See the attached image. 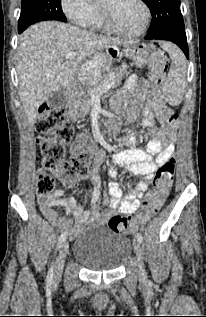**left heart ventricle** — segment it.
I'll return each mask as SVG.
<instances>
[{"label": "left heart ventricle", "mask_w": 206, "mask_h": 317, "mask_svg": "<svg viewBox=\"0 0 206 317\" xmlns=\"http://www.w3.org/2000/svg\"><path fill=\"white\" fill-rule=\"evenodd\" d=\"M100 6L108 10L113 24L123 32H136L143 25L145 13L136 0H101Z\"/></svg>", "instance_id": "1"}]
</instances>
